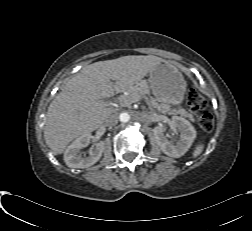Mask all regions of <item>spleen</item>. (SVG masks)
Returning <instances> with one entry per match:
<instances>
[{
	"label": "spleen",
	"instance_id": "obj_1",
	"mask_svg": "<svg viewBox=\"0 0 252 231\" xmlns=\"http://www.w3.org/2000/svg\"><path fill=\"white\" fill-rule=\"evenodd\" d=\"M203 149L204 146L202 144L197 145L193 152V157L196 158L197 156H199L202 153Z\"/></svg>",
	"mask_w": 252,
	"mask_h": 231
}]
</instances>
